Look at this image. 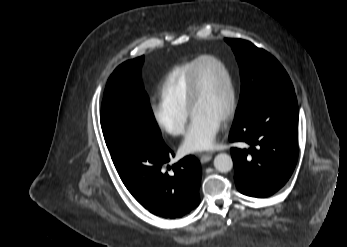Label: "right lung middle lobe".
Wrapping results in <instances>:
<instances>
[{
	"instance_id": "1",
	"label": "right lung middle lobe",
	"mask_w": 347,
	"mask_h": 247,
	"mask_svg": "<svg viewBox=\"0 0 347 247\" xmlns=\"http://www.w3.org/2000/svg\"><path fill=\"white\" fill-rule=\"evenodd\" d=\"M143 62L144 56L124 62L107 82L100 120L108 148L124 133H137L154 145L162 141L161 131L141 82Z\"/></svg>"
}]
</instances>
